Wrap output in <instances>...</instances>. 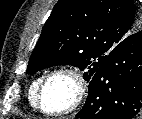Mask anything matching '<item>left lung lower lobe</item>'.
<instances>
[{"mask_svg":"<svg viewBox=\"0 0 142 119\" xmlns=\"http://www.w3.org/2000/svg\"><path fill=\"white\" fill-rule=\"evenodd\" d=\"M142 30L117 44L89 83L77 119H141Z\"/></svg>","mask_w":142,"mask_h":119,"instance_id":"left-lung-lower-lobe-1","label":"left lung lower lobe"}]
</instances>
